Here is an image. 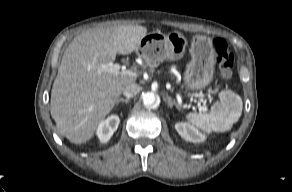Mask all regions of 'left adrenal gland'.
Returning a JSON list of instances; mask_svg holds the SVG:
<instances>
[{
	"mask_svg": "<svg viewBox=\"0 0 292 192\" xmlns=\"http://www.w3.org/2000/svg\"><path fill=\"white\" fill-rule=\"evenodd\" d=\"M165 100L169 108H172L173 106H175L178 110H180L181 107L170 96H167Z\"/></svg>",
	"mask_w": 292,
	"mask_h": 192,
	"instance_id": "left-adrenal-gland-1",
	"label": "left adrenal gland"
}]
</instances>
